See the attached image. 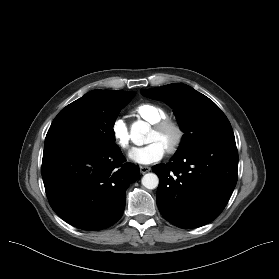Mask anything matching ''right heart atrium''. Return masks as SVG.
<instances>
[{
    "instance_id": "1",
    "label": "right heart atrium",
    "mask_w": 279,
    "mask_h": 279,
    "mask_svg": "<svg viewBox=\"0 0 279 279\" xmlns=\"http://www.w3.org/2000/svg\"><path fill=\"white\" fill-rule=\"evenodd\" d=\"M111 134L114 142L119 148H121L122 150H128L130 148V132L123 119L118 118L113 121L111 125Z\"/></svg>"
}]
</instances>
